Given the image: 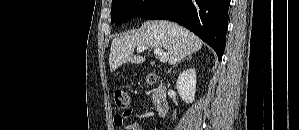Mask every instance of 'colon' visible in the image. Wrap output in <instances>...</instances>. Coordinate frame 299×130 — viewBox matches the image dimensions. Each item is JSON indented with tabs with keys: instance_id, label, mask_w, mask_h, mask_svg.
I'll return each mask as SVG.
<instances>
[{
	"instance_id": "colon-1",
	"label": "colon",
	"mask_w": 299,
	"mask_h": 130,
	"mask_svg": "<svg viewBox=\"0 0 299 130\" xmlns=\"http://www.w3.org/2000/svg\"><path fill=\"white\" fill-rule=\"evenodd\" d=\"M157 80V77L153 74L147 76V82L153 84ZM115 103L119 108L126 109L130 105V96L127 91L123 89H117L114 94Z\"/></svg>"
}]
</instances>
